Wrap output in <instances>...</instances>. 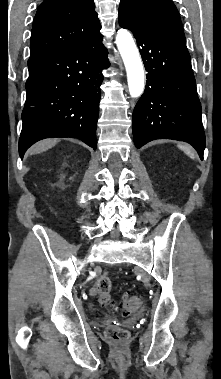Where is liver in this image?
<instances>
[{"label":"liver","instance_id":"1","mask_svg":"<svg viewBox=\"0 0 221 379\" xmlns=\"http://www.w3.org/2000/svg\"><path fill=\"white\" fill-rule=\"evenodd\" d=\"M58 142V139H45V140H42L38 143H36L32 149L30 150V153L31 154H38V153H42L50 148H52L53 146H55Z\"/></svg>","mask_w":221,"mask_h":379}]
</instances>
